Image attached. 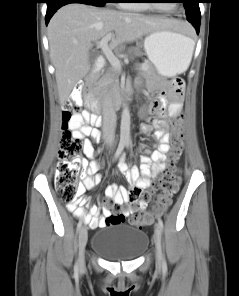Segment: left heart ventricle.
I'll return each mask as SVG.
<instances>
[{
	"instance_id": "left-heart-ventricle-1",
	"label": "left heart ventricle",
	"mask_w": 239,
	"mask_h": 296,
	"mask_svg": "<svg viewBox=\"0 0 239 296\" xmlns=\"http://www.w3.org/2000/svg\"><path fill=\"white\" fill-rule=\"evenodd\" d=\"M156 4L163 9H171L174 6V3H169L166 1H158Z\"/></svg>"
}]
</instances>
